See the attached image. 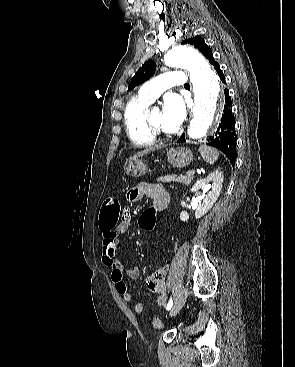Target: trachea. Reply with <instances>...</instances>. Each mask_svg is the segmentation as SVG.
Instances as JSON below:
<instances>
[{
    "label": "trachea",
    "instance_id": "obj_1",
    "mask_svg": "<svg viewBox=\"0 0 295 367\" xmlns=\"http://www.w3.org/2000/svg\"><path fill=\"white\" fill-rule=\"evenodd\" d=\"M184 86H185V87H190V85H189L188 83H186Z\"/></svg>",
    "mask_w": 295,
    "mask_h": 367
}]
</instances>
